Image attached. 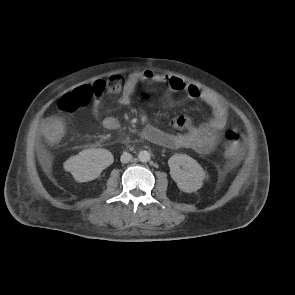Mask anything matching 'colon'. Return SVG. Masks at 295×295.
I'll return each mask as SVG.
<instances>
[{
    "mask_svg": "<svg viewBox=\"0 0 295 295\" xmlns=\"http://www.w3.org/2000/svg\"><path fill=\"white\" fill-rule=\"evenodd\" d=\"M129 83V78L123 75H115L107 80H99L93 85H83L70 93L65 94L60 100L63 111L73 112L90 102L95 97H100L113 92L122 91ZM143 94L137 95L138 101L146 100ZM41 131L47 142L58 143L64 133V125L60 118L51 117L43 121ZM225 146L224 156L232 164L236 163L244 151V140L242 135L235 130H227L224 133Z\"/></svg>",
    "mask_w": 295,
    "mask_h": 295,
    "instance_id": "1",
    "label": "colon"
}]
</instances>
